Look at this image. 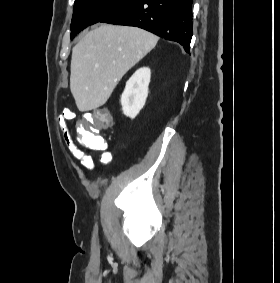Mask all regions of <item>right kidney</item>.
<instances>
[{
    "instance_id": "ca27d5eb",
    "label": "right kidney",
    "mask_w": 280,
    "mask_h": 283,
    "mask_svg": "<svg viewBox=\"0 0 280 283\" xmlns=\"http://www.w3.org/2000/svg\"><path fill=\"white\" fill-rule=\"evenodd\" d=\"M151 78V70L148 67L138 69L127 81L121 96L122 110L125 116L134 119L144 107L148 86Z\"/></svg>"
}]
</instances>
